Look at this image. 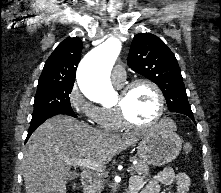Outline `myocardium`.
<instances>
[{
  "label": "myocardium",
  "instance_id": "obj_1",
  "mask_svg": "<svg viewBox=\"0 0 221 193\" xmlns=\"http://www.w3.org/2000/svg\"><path fill=\"white\" fill-rule=\"evenodd\" d=\"M140 85H147L149 87H151L153 89V91L156 94L157 97V112L155 114V116L152 118V120H150L147 123H138L135 122L133 120H131L125 110V107L123 104H117L115 105V110L117 112L118 118L121 122V124L125 127L128 128H136V129H144V128H149L152 127L154 125H156L160 119L162 118L163 114H164V108H165V97L164 94L161 90V88L152 80L150 79H145V78H140V79H135L127 84H125L122 88H121V95H127L132 89H134L137 86Z\"/></svg>",
  "mask_w": 221,
  "mask_h": 193
}]
</instances>
